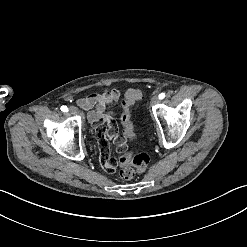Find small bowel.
I'll return each instance as SVG.
<instances>
[{"mask_svg":"<svg viewBox=\"0 0 247 247\" xmlns=\"http://www.w3.org/2000/svg\"><path fill=\"white\" fill-rule=\"evenodd\" d=\"M120 91L113 89L102 94H90L82 97L78 101V106L83 110H89L87 118L94 125L97 132L98 142L96 144L99 150L100 161L105 173L110 174L114 170V162L112 161L108 142L104 136L107 132L108 136L114 141L116 151L125 153L129 149V143L126 137L122 134L118 135L116 128V117L113 114L105 115V112H113L114 106L111 103L116 102L120 98ZM104 122L109 125L106 129Z\"/></svg>","mask_w":247,"mask_h":247,"instance_id":"c3829d8e","label":"small bowel"}]
</instances>
